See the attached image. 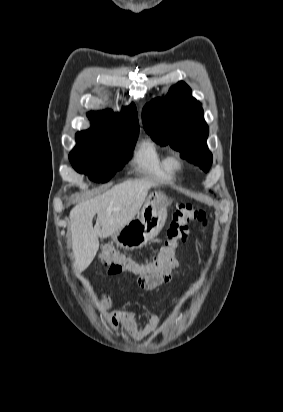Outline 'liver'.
Masks as SVG:
<instances>
[{
  "label": "liver",
  "instance_id": "1",
  "mask_svg": "<svg viewBox=\"0 0 283 412\" xmlns=\"http://www.w3.org/2000/svg\"><path fill=\"white\" fill-rule=\"evenodd\" d=\"M155 185L148 179L128 180L71 210L73 267L76 274L83 272L93 261L99 249V238L112 236L134 219L149 189ZM108 208L113 210L108 212ZM96 214L93 227L92 220Z\"/></svg>",
  "mask_w": 283,
  "mask_h": 412
}]
</instances>
